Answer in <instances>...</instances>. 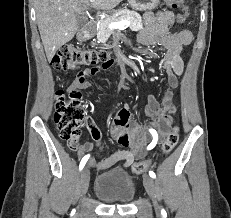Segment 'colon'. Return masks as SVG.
<instances>
[{
	"mask_svg": "<svg viewBox=\"0 0 231 218\" xmlns=\"http://www.w3.org/2000/svg\"><path fill=\"white\" fill-rule=\"evenodd\" d=\"M166 4L177 9L183 7V0H165ZM187 14L178 16L179 22H184ZM104 60H108L106 51H93L80 46L66 44L63 45L51 60V65L57 70H77L87 69V66H96ZM54 122L59 130V135L63 140L74 143L79 140L81 130L84 125L88 124L87 112L83 105L81 92L71 87L64 92H57L56 105L53 116ZM179 139V128L176 126L167 135L162 143L161 153L169 154L176 146ZM152 162L150 160H140L132 165V171L135 174L144 173Z\"/></svg>",
	"mask_w": 231,
	"mask_h": 218,
	"instance_id": "5ec220e1",
	"label": "colon"
}]
</instances>
